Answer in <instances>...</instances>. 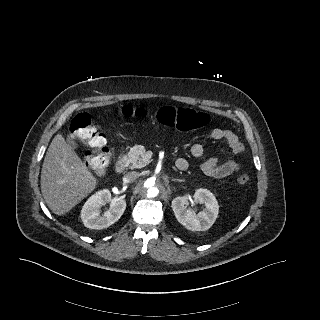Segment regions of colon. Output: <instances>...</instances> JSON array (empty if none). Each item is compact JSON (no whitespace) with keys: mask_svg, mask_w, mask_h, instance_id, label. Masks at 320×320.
Listing matches in <instances>:
<instances>
[{"mask_svg":"<svg viewBox=\"0 0 320 320\" xmlns=\"http://www.w3.org/2000/svg\"><path fill=\"white\" fill-rule=\"evenodd\" d=\"M121 112L127 116L144 117L147 115L144 109L131 106L123 107ZM156 118L160 124L180 131L202 129L210 123V116L207 113L172 106L162 107L157 112ZM70 131L90 150L85 154L86 164L99 174L105 173L110 164L107 141L104 134L93 123L91 117L86 113L78 114L71 121ZM249 180L250 177L246 173L237 177V182L241 185L248 183Z\"/></svg>","mask_w":320,"mask_h":320,"instance_id":"1","label":"colon"}]
</instances>
